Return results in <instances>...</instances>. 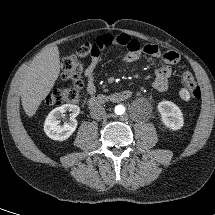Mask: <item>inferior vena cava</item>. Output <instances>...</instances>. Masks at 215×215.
<instances>
[{"instance_id":"inferior-vena-cava-1","label":"inferior vena cava","mask_w":215,"mask_h":215,"mask_svg":"<svg viewBox=\"0 0 215 215\" xmlns=\"http://www.w3.org/2000/svg\"><path fill=\"white\" fill-rule=\"evenodd\" d=\"M90 115L93 119L99 120L106 116V110L101 105H95L91 108Z\"/></svg>"}]
</instances>
